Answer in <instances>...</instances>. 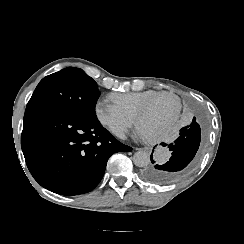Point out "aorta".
Wrapping results in <instances>:
<instances>
[{
    "instance_id": "762f6f07",
    "label": "aorta",
    "mask_w": 244,
    "mask_h": 244,
    "mask_svg": "<svg viewBox=\"0 0 244 244\" xmlns=\"http://www.w3.org/2000/svg\"><path fill=\"white\" fill-rule=\"evenodd\" d=\"M133 162L138 167H146L150 162V155L147 151H137L133 155Z\"/></svg>"
}]
</instances>
